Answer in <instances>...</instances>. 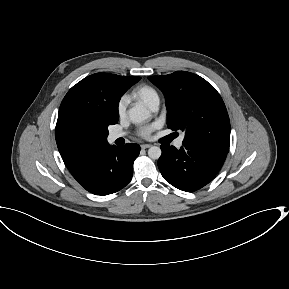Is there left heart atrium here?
<instances>
[{
	"label": "left heart atrium",
	"mask_w": 289,
	"mask_h": 289,
	"mask_svg": "<svg viewBox=\"0 0 289 289\" xmlns=\"http://www.w3.org/2000/svg\"><path fill=\"white\" fill-rule=\"evenodd\" d=\"M154 127L150 126V127H145L140 131V135L144 138H147L150 136L151 132L153 131Z\"/></svg>",
	"instance_id": "39dd6f15"
}]
</instances>
